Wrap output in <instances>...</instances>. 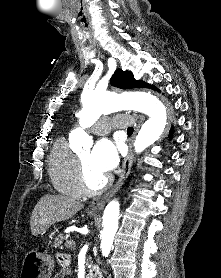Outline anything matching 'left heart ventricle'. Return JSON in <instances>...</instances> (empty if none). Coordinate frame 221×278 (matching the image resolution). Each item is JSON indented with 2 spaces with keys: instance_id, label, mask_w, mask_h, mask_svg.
<instances>
[{
  "instance_id": "left-heart-ventricle-1",
  "label": "left heart ventricle",
  "mask_w": 221,
  "mask_h": 278,
  "mask_svg": "<svg viewBox=\"0 0 221 278\" xmlns=\"http://www.w3.org/2000/svg\"><path fill=\"white\" fill-rule=\"evenodd\" d=\"M79 157L85 166L88 181L91 186L96 187L98 186L104 179L105 175L98 172L91 164V152L90 150H85L79 154Z\"/></svg>"
}]
</instances>
